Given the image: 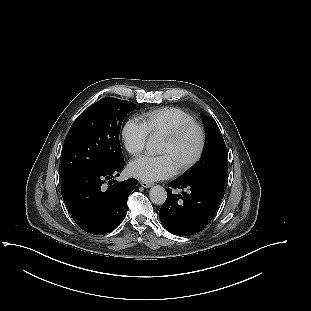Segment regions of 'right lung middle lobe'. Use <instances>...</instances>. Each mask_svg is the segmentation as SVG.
I'll return each instance as SVG.
<instances>
[{
	"label": "right lung middle lobe",
	"mask_w": 311,
	"mask_h": 311,
	"mask_svg": "<svg viewBox=\"0 0 311 311\" xmlns=\"http://www.w3.org/2000/svg\"><path fill=\"white\" fill-rule=\"evenodd\" d=\"M139 107L106 97L83 111L66 135L61 158V180L85 169L111 168L124 162L119 143L125 116Z\"/></svg>",
	"instance_id": "right-lung-middle-lobe-1"
}]
</instances>
